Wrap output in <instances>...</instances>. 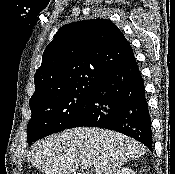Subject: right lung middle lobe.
Wrapping results in <instances>:
<instances>
[{
    "label": "right lung middle lobe",
    "mask_w": 175,
    "mask_h": 174,
    "mask_svg": "<svg viewBox=\"0 0 175 174\" xmlns=\"http://www.w3.org/2000/svg\"><path fill=\"white\" fill-rule=\"evenodd\" d=\"M94 85L68 90L30 105L28 144L65 130L84 109Z\"/></svg>",
    "instance_id": "1"
}]
</instances>
